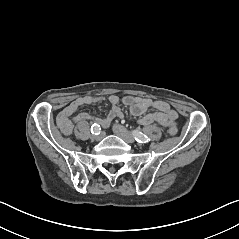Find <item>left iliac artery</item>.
<instances>
[{
  "instance_id": "1",
  "label": "left iliac artery",
  "mask_w": 239,
  "mask_h": 239,
  "mask_svg": "<svg viewBox=\"0 0 239 239\" xmlns=\"http://www.w3.org/2000/svg\"><path fill=\"white\" fill-rule=\"evenodd\" d=\"M135 140L139 143H147L150 141V139L145 135L143 134L142 132L138 131V130H134L132 132Z\"/></svg>"
}]
</instances>
